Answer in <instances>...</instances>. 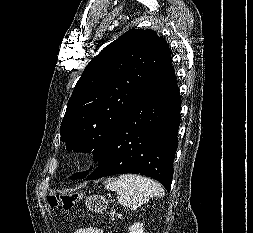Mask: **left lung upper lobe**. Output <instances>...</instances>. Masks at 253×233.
<instances>
[{
  "mask_svg": "<svg viewBox=\"0 0 253 233\" xmlns=\"http://www.w3.org/2000/svg\"><path fill=\"white\" fill-rule=\"evenodd\" d=\"M171 62L169 45L150 29H131L106 46L86 66L68 101L60 127L66 149L93 150L99 160L132 107Z\"/></svg>",
  "mask_w": 253,
  "mask_h": 233,
  "instance_id": "obj_1",
  "label": "left lung upper lobe"
}]
</instances>
